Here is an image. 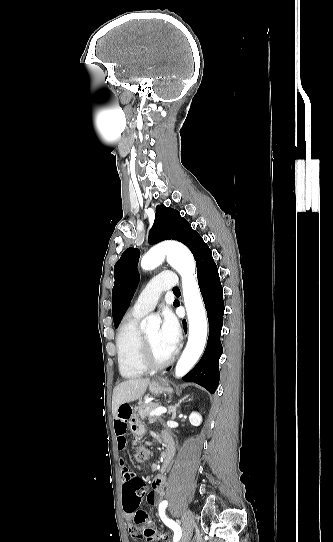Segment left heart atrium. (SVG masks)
<instances>
[{"mask_svg":"<svg viewBox=\"0 0 333 542\" xmlns=\"http://www.w3.org/2000/svg\"><path fill=\"white\" fill-rule=\"evenodd\" d=\"M161 336L174 352L181 339V329L174 313L166 308L162 312Z\"/></svg>","mask_w":333,"mask_h":542,"instance_id":"obj_1","label":"left heart atrium"}]
</instances>
